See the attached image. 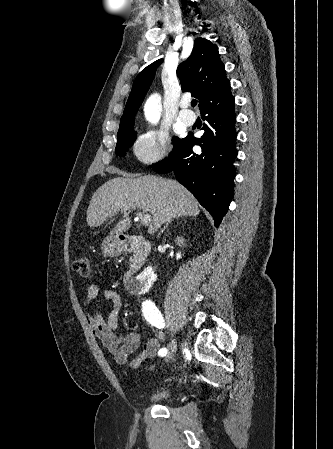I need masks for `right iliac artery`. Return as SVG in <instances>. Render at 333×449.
Returning a JSON list of instances; mask_svg holds the SVG:
<instances>
[{
    "mask_svg": "<svg viewBox=\"0 0 333 449\" xmlns=\"http://www.w3.org/2000/svg\"><path fill=\"white\" fill-rule=\"evenodd\" d=\"M142 307H143V315L151 325L155 326L158 329L164 327L163 317L152 301L150 300L144 301L142 303ZM158 354L159 356H165L167 354L166 348L160 349L158 351Z\"/></svg>",
    "mask_w": 333,
    "mask_h": 449,
    "instance_id": "obj_1",
    "label": "right iliac artery"
}]
</instances>
